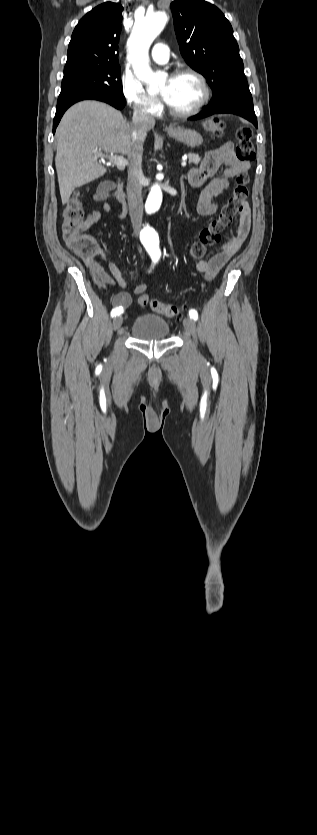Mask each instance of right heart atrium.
I'll list each match as a JSON object with an SVG mask.
<instances>
[{
	"label": "right heart atrium",
	"mask_w": 317,
	"mask_h": 835,
	"mask_svg": "<svg viewBox=\"0 0 317 835\" xmlns=\"http://www.w3.org/2000/svg\"><path fill=\"white\" fill-rule=\"evenodd\" d=\"M120 82L122 95L135 112L145 116H155L160 112L159 100L148 94L134 75L124 72Z\"/></svg>",
	"instance_id": "d8ad5b80"
}]
</instances>
